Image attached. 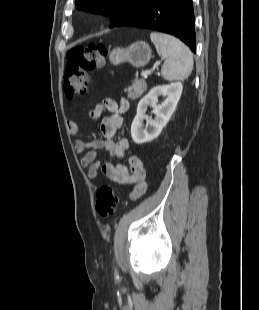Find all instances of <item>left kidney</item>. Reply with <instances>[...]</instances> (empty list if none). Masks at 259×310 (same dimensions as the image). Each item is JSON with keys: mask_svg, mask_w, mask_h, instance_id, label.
Returning a JSON list of instances; mask_svg holds the SVG:
<instances>
[{"mask_svg": "<svg viewBox=\"0 0 259 310\" xmlns=\"http://www.w3.org/2000/svg\"><path fill=\"white\" fill-rule=\"evenodd\" d=\"M183 85L181 82L159 85L152 88L138 103L137 114L131 125V136L136 144H143L157 138L162 129L167 125L177 103L181 97ZM164 96L161 105H158V97ZM148 106L154 108L155 119L148 120L144 127L143 121Z\"/></svg>", "mask_w": 259, "mask_h": 310, "instance_id": "1", "label": "left kidney"}]
</instances>
